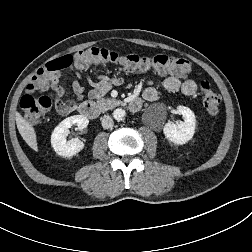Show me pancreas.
Masks as SVG:
<instances>
[{"label": "pancreas", "instance_id": "cf45deb5", "mask_svg": "<svg viewBox=\"0 0 252 252\" xmlns=\"http://www.w3.org/2000/svg\"><path fill=\"white\" fill-rule=\"evenodd\" d=\"M120 104V101L113 98H102L96 101V106L100 112H105L109 109H112Z\"/></svg>", "mask_w": 252, "mask_h": 252}]
</instances>
